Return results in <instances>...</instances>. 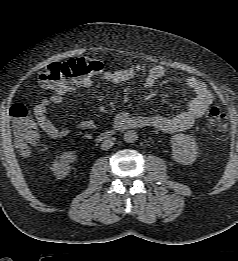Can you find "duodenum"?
Returning <instances> with one entry per match:
<instances>
[{
	"mask_svg": "<svg viewBox=\"0 0 238 261\" xmlns=\"http://www.w3.org/2000/svg\"><path fill=\"white\" fill-rule=\"evenodd\" d=\"M111 134H112L111 131L103 132V133H101V134L98 136V139H99V140L106 139V138L110 137Z\"/></svg>",
	"mask_w": 238,
	"mask_h": 261,
	"instance_id": "1",
	"label": "duodenum"
}]
</instances>
